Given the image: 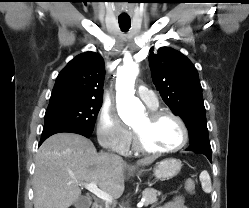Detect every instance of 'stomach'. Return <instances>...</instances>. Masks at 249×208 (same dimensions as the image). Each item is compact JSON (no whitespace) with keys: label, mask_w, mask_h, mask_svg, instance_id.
Segmentation results:
<instances>
[{"label":"stomach","mask_w":249,"mask_h":208,"mask_svg":"<svg viewBox=\"0 0 249 208\" xmlns=\"http://www.w3.org/2000/svg\"><path fill=\"white\" fill-rule=\"evenodd\" d=\"M181 161L174 158H168L162 160L154 167V175L159 180H168L175 177L181 170ZM145 170L138 171V174H142Z\"/></svg>","instance_id":"stomach-1"}]
</instances>
